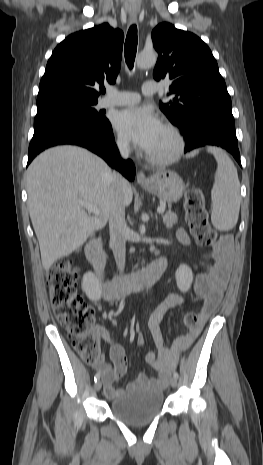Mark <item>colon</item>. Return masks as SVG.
Returning a JSON list of instances; mask_svg holds the SVG:
<instances>
[{"label": "colon", "mask_w": 263, "mask_h": 465, "mask_svg": "<svg viewBox=\"0 0 263 465\" xmlns=\"http://www.w3.org/2000/svg\"><path fill=\"white\" fill-rule=\"evenodd\" d=\"M186 222L198 245L211 247L216 242V233L208 222L202 191L192 188L185 198ZM79 273L69 259L54 264L47 275L50 300L57 320L72 336L74 348L91 365L100 363V347L94 331V309L77 291ZM184 326L192 331L201 323V314L190 311L183 319Z\"/></svg>", "instance_id": "5ec220e1"}]
</instances>
